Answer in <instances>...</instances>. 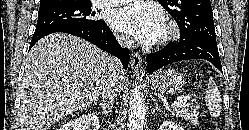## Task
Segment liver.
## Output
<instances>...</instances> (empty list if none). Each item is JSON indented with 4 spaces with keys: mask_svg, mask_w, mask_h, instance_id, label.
<instances>
[{
    "mask_svg": "<svg viewBox=\"0 0 249 130\" xmlns=\"http://www.w3.org/2000/svg\"><path fill=\"white\" fill-rule=\"evenodd\" d=\"M112 70V57L81 38L55 33L26 59L21 86V130H48L62 117L97 101ZM126 73L118 74L123 90Z\"/></svg>",
    "mask_w": 249,
    "mask_h": 130,
    "instance_id": "1",
    "label": "liver"
}]
</instances>
